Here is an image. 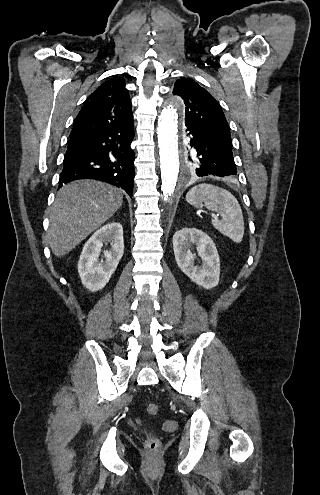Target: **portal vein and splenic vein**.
<instances>
[{
    "mask_svg": "<svg viewBox=\"0 0 320 495\" xmlns=\"http://www.w3.org/2000/svg\"><path fill=\"white\" fill-rule=\"evenodd\" d=\"M212 217L215 218V219H217L218 218V215L212 214Z\"/></svg>",
    "mask_w": 320,
    "mask_h": 495,
    "instance_id": "obj_1",
    "label": "portal vein and splenic vein"
}]
</instances>
